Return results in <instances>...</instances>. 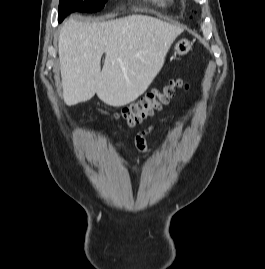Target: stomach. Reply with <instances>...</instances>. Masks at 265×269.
Listing matches in <instances>:
<instances>
[{
  "label": "stomach",
  "mask_w": 265,
  "mask_h": 269,
  "mask_svg": "<svg viewBox=\"0 0 265 269\" xmlns=\"http://www.w3.org/2000/svg\"><path fill=\"white\" fill-rule=\"evenodd\" d=\"M192 48V42L188 39L183 38L177 41L174 45V55H185Z\"/></svg>",
  "instance_id": "1"
}]
</instances>
